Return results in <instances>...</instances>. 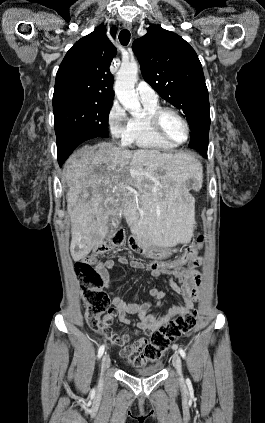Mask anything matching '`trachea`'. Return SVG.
Wrapping results in <instances>:
<instances>
[{"mask_svg": "<svg viewBox=\"0 0 265 423\" xmlns=\"http://www.w3.org/2000/svg\"><path fill=\"white\" fill-rule=\"evenodd\" d=\"M119 41L122 45H127L130 41V32L127 29H124L119 34Z\"/></svg>", "mask_w": 265, "mask_h": 423, "instance_id": "1", "label": "trachea"}]
</instances>
